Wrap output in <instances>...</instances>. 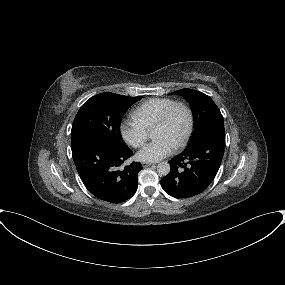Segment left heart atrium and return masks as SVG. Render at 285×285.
<instances>
[{"mask_svg":"<svg viewBox=\"0 0 285 285\" xmlns=\"http://www.w3.org/2000/svg\"><path fill=\"white\" fill-rule=\"evenodd\" d=\"M175 145L166 137H157L146 144L137 154V158L143 162H156L170 155Z\"/></svg>","mask_w":285,"mask_h":285,"instance_id":"obj_1","label":"left heart atrium"}]
</instances>
